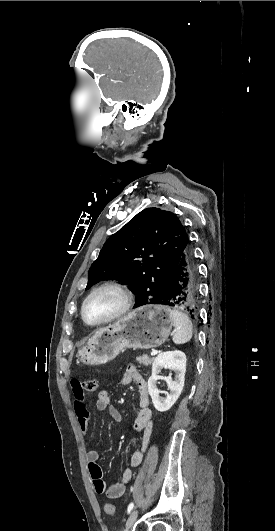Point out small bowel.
I'll list each match as a JSON object with an SVG mask.
<instances>
[{
    "mask_svg": "<svg viewBox=\"0 0 275 531\" xmlns=\"http://www.w3.org/2000/svg\"><path fill=\"white\" fill-rule=\"evenodd\" d=\"M132 381L137 382L139 393V412L133 424V429L136 433L141 435L142 447L140 450L133 451L129 456V465L136 467L141 464L146 446L149 443L152 435L154 420L152 409L150 407L148 385L142 374L134 366H128L120 378L121 386H128ZM69 382L71 383L69 390L71 394L78 396L82 394L83 390H77L75 384L80 382V375L78 373H71L69 375ZM96 408L99 411H107L114 421L121 420L119 410L111 404V396L109 391L100 390L97 394ZM75 413L78 417L79 426L83 433H86L91 427V419L85 407L84 399L81 403L75 402ZM99 452L96 449L87 451L86 461L90 477L93 481V486L97 494L104 495L106 498L115 499L121 497L127 488L128 483L132 479V470L130 467H125L118 480L113 484L107 485L102 478V470L98 464Z\"/></svg>",
    "mask_w": 275,
    "mask_h": 531,
    "instance_id": "c3829d8e",
    "label": "small bowel"
}]
</instances>
